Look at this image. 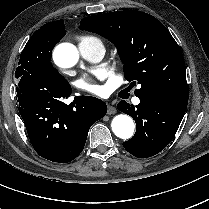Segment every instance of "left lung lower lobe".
Instances as JSON below:
<instances>
[{
  "instance_id": "0a47b994",
  "label": "left lung lower lobe",
  "mask_w": 209,
  "mask_h": 209,
  "mask_svg": "<svg viewBox=\"0 0 209 209\" xmlns=\"http://www.w3.org/2000/svg\"><path fill=\"white\" fill-rule=\"evenodd\" d=\"M140 104L129 105L122 100L118 110L136 122V133L123 143L124 148L138 158H147L162 151L173 139L185 114L188 101L164 98L157 94L137 96Z\"/></svg>"
}]
</instances>
